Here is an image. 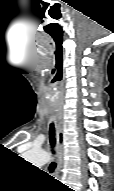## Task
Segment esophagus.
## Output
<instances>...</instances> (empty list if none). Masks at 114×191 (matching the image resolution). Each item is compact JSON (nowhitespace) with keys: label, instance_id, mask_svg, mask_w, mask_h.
<instances>
[{"label":"esophagus","instance_id":"1","mask_svg":"<svg viewBox=\"0 0 114 191\" xmlns=\"http://www.w3.org/2000/svg\"><path fill=\"white\" fill-rule=\"evenodd\" d=\"M57 169L56 172L59 173L63 162H64V131L63 122L61 117L59 118L57 125Z\"/></svg>","mask_w":114,"mask_h":191}]
</instances>
